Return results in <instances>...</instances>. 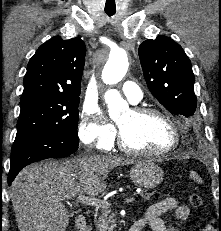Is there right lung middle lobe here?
<instances>
[{"instance_id":"obj_1","label":"right lung middle lobe","mask_w":221,"mask_h":231,"mask_svg":"<svg viewBox=\"0 0 221 231\" xmlns=\"http://www.w3.org/2000/svg\"><path fill=\"white\" fill-rule=\"evenodd\" d=\"M79 97L35 96L20 99V115L14 141L36 133H65L77 136Z\"/></svg>"}]
</instances>
